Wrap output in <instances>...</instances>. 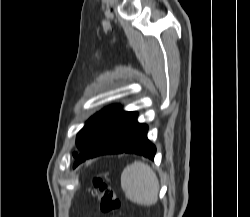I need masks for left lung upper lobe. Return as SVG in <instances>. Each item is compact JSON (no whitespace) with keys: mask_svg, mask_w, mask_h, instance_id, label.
Wrapping results in <instances>:
<instances>
[{"mask_svg":"<svg viewBox=\"0 0 250 217\" xmlns=\"http://www.w3.org/2000/svg\"><path fill=\"white\" fill-rule=\"evenodd\" d=\"M118 109V105H112L104 108L102 111L92 116L88 122H86L85 126L79 131L76 138V145L79 152L83 150L93 136L116 113ZM79 152H74L73 156L76 157Z\"/></svg>","mask_w":250,"mask_h":217,"instance_id":"left-lung-upper-lobe-1","label":"left lung upper lobe"}]
</instances>
